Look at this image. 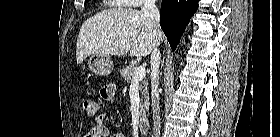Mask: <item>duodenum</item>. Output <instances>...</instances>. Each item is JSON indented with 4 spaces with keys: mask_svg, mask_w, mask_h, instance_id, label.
Masks as SVG:
<instances>
[{
    "mask_svg": "<svg viewBox=\"0 0 280 137\" xmlns=\"http://www.w3.org/2000/svg\"><path fill=\"white\" fill-rule=\"evenodd\" d=\"M150 124L151 123L149 119L141 120L139 124V130L141 131V133L147 134L150 130Z\"/></svg>",
    "mask_w": 280,
    "mask_h": 137,
    "instance_id": "duodenum-1",
    "label": "duodenum"
}]
</instances>
